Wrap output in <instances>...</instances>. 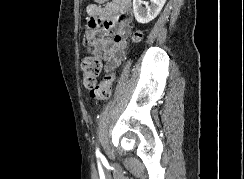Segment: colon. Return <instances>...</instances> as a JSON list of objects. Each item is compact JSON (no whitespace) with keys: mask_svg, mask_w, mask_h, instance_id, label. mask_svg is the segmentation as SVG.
Segmentation results:
<instances>
[{"mask_svg":"<svg viewBox=\"0 0 244 179\" xmlns=\"http://www.w3.org/2000/svg\"><path fill=\"white\" fill-rule=\"evenodd\" d=\"M107 0H98V3H106ZM141 33L136 31L133 37L139 38ZM102 61L99 55H93L85 58L81 63L83 71L84 85L89 89L91 99L102 102L111 97L112 89L117 81L115 71L109 73L101 82H97L101 72Z\"/></svg>","mask_w":244,"mask_h":179,"instance_id":"obj_1","label":"colon"}]
</instances>
